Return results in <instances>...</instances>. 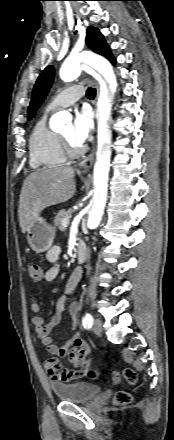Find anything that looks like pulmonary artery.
Returning <instances> with one entry per match:
<instances>
[{"mask_svg":"<svg viewBox=\"0 0 174 440\" xmlns=\"http://www.w3.org/2000/svg\"><path fill=\"white\" fill-rule=\"evenodd\" d=\"M85 94V88L82 85L71 86L61 93L57 94L47 105V111H54L67 107L80 99Z\"/></svg>","mask_w":174,"mask_h":440,"instance_id":"pulmonary-artery-1","label":"pulmonary artery"}]
</instances>
